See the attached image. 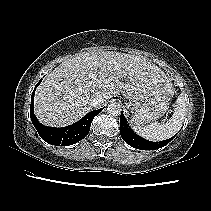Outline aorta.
Segmentation results:
<instances>
[{
  "instance_id": "762f6f07",
  "label": "aorta",
  "mask_w": 211,
  "mask_h": 211,
  "mask_svg": "<svg viewBox=\"0 0 211 211\" xmlns=\"http://www.w3.org/2000/svg\"><path fill=\"white\" fill-rule=\"evenodd\" d=\"M107 112L112 116H119L121 114V106L116 102H112L107 106Z\"/></svg>"
}]
</instances>
